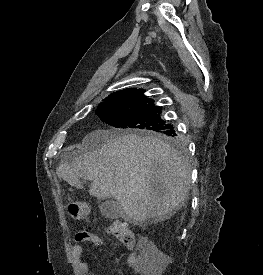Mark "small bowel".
Listing matches in <instances>:
<instances>
[{"label":"small bowel","mask_w":263,"mask_h":275,"mask_svg":"<svg viewBox=\"0 0 263 275\" xmlns=\"http://www.w3.org/2000/svg\"><path fill=\"white\" fill-rule=\"evenodd\" d=\"M83 242H90L94 246L100 247L104 244V241L101 237L92 232L80 230L75 235V244L72 247V257L80 272L83 275H96L90 270L88 263L81 258L83 253L81 243ZM127 263L136 274L142 275L143 263H141L137 255L130 254L127 258Z\"/></svg>","instance_id":"c3829d8e"}]
</instances>
